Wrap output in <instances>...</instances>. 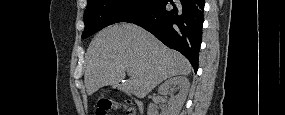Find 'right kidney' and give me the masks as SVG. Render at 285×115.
Wrapping results in <instances>:
<instances>
[{
  "label": "right kidney",
  "instance_id": "obj_1",
  "mask_svg": "<svg viewBox=\"0 0 285 115\" xmlns=\"http://www.w3.org/2000/svg\"><path fill=\"white\" fill-rule=\"evenodd\" d=\"M177 86L179 91L175 96L168 98L167 106L163 108L160 115H178L184 101L186 99L190 86L189 80L184 76L173 77L166 80L159 86V94L167 95L171 87ZM158 107L155 104H150L148 107V115H159Z\"/></svg>",
  "mask_w": 285,
  "mask_h": 115
}]
</instances>
